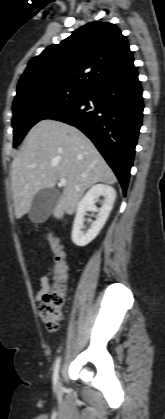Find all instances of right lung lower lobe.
I'll list each match as a JSON object with an SVG mask.
<instances>
[{
	"label": "right lung lower lobe",
	"instance_id": "right-lung-lower-lobe-1",
	"mask_svg": "<svg viewBox=\"0 0 165 419\" xmlns=\"http://www.w3.org/2000/svg\"><path fill=\"white\" fill-rule=\"evenodd\" d=\"M84 96L44 119L62 121L85 133L113 169L125 193L144 109L134 64L95 85Z\"/></svg>",
	"mask_w": 165,
	"mask_h": 419
}]
</instances>
